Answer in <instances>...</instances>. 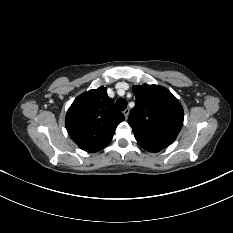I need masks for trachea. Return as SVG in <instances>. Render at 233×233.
Listing matches in <instances>:
<instances>
[{"instance_id": "1", "label": "trachea", "mask_w": 233, "mask_h": 233, "mask_svg": "<svg viewBox=\"0 0 233 233\" xmlns=\"http://www.w3.org/2000/svg\"><path fill=\"white\" fill-rule=\"evenodd\" d=\"M116 107H117L119 110H121V111L125 110L126 107H127V100L124 99V98H119V99H117V101H116Z\"/></svg>"}]
</instances>
